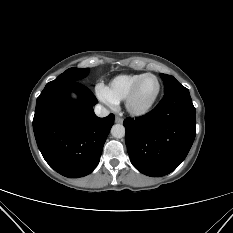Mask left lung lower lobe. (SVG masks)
<instances>
[{"instance_id": "0a47b994", "label": "left lung lower lobe", "mask_w": 233, "mask_h": 233, "mask_svg": "<svg viewBox=\"0 0 233 233\" xmlns=\"http://www.w3.org/2000/svg\"><path fill=\"white\" fill-rule=\"evenodd\" d=\"M123 124L133 166L152 177L174 171L196 135L195 108L188 90L164 96L146 116L125 119Z\"/></svg>"}]
</instances>
